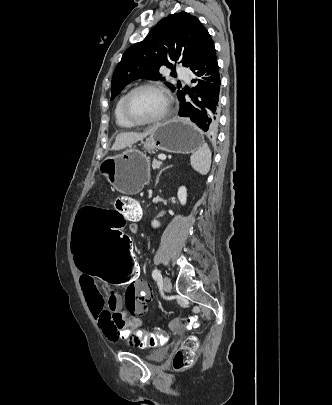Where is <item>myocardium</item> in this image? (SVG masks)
Returning a JSON list of instances; mask_svg holds the SVG:
<instances>
[{
  "instance_id": "obj_1",
  "label": "myocardium",
  "mask_w": 332,
  "mask_h": 405,
  "mask_svg": "<svg viewBox=\"0 0 332 405\" xmlns=\"http://www.w3.org/2000/svg\"><path fill=\"white\" fill-rule=\"evenodd\" d=\"M142 89H152V90H156L159 93H161L166 101V108L163 111L162 114H160L159 116L152 118V119H148V120H138L133 118L129 112H128V108H127V104L128 101L130 99V97L136 93L139 90ZM172 111V103H171V99L168 95V93L166 92V90L159 84L157 83H152V82H146V83H142L140 85L135 86L134 88L130 89L123 97L122 102H121V114L124 117L125 120H127L128 122H130L131 124H133L134 126H141V125H150V124H155L158 122L163 121L164 119H166L170 113Z\"/></svg>"
}]
</instances>
